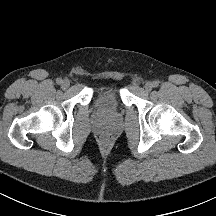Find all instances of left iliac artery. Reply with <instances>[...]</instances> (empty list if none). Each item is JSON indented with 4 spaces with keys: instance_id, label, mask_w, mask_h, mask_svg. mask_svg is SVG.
I'll list each match as a JSON object with an SVG mask.
<instances>
[{
    "instance_id": "obj_1",
    "label": "left iliac artery",
    "mask_w": 216,
    "mask_h": 216,
    "mask_svg": "<svg viewBox=\"0 0 216 216\" xmlns=\"http://www.w3.org/2000/svg\"><path fill=\"white\" fill-rule=\"evenodd\" d=\"M158 85H159V81H157V80H156V81H153V86H154V87H158Z\"/></svg>"
}]
</instances>
